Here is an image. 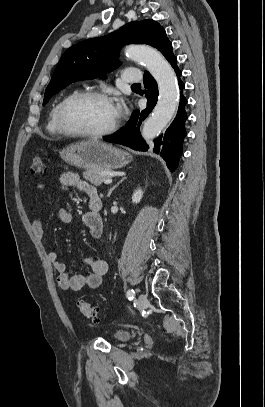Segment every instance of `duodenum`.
Returning a JSON list of instances; mask_svg holds the SVG:
<instances>
[{
	"label": "duodenum",
	"instance_id": "obj_1",
	"mask_svg": "<svg viewBox=\"0 0 265 407\" xmlns=\"http://www.w3.org/2000/svg\"><path fill=\"white\" fill-rule=\"evenodd\" d=\"M91 207L95 212H100L103 208V203L100 198H95L91 201Z\"/></svg>",
	"mask_w": 265,
	"mask_h": 407
}]
</instances>
